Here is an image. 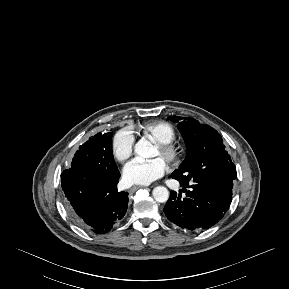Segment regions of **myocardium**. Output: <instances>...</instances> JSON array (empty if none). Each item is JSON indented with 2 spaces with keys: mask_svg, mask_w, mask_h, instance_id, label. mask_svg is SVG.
<instances>
[{
  "mask_svg": "<svg viewBox=\"0 0 289 289\" xmlns=\"http://www.w3.org/2000/svg\"><path fill=\"white\" fill-rule=\"evenodd\" d=\"M155 147L163 155L169 168H175L181 163L183 152L175 142L155 143Z\"/></svg>",
  "mask_w": 289,
  "mask_h": 289,
  "instance_id": "myocardium-1",
  "label": "myocardium"
}]
</instances>
